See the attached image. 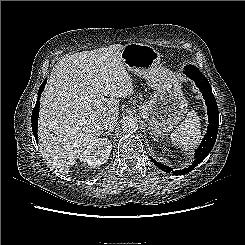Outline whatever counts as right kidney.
I'll return each mask as SVG.
<instances>
[{
  "label": "right kidney",
  "mask_w": 245,
  "mask_h": 245,
  "mask_svg": "<svg viewBox=\"0 0 245 245\" xmlns=\"http://www.w3.org/2000/svg\"><path fill=\"white\" fill-rule=\"evenodd\" d=\"M112 144L107 138H96L91 141L82 152L79 159L89 167H96L104 164L111 153Z\"/></svg>",
  "instance_id": "obj_1"
}]
</instances>
